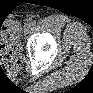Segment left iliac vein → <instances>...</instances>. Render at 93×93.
Wrapping results in <instances>:
<instances>
[{"label": "left iliac vein", "mask_w": 93, "mask_h": 93, "mask_svg": "<svg viewBox=\"0 0 93 93\" xmlns=\"http://www.w3.org/2000/svg\"><path fill=\"white\" fill-rule=\"evenodd\" d=\"M31 24L30 23H26L23 27V31L24 33H27L30 30Z\"/></svg>", "instance_id": "left-iliac-vein-1"}]
</instances>
